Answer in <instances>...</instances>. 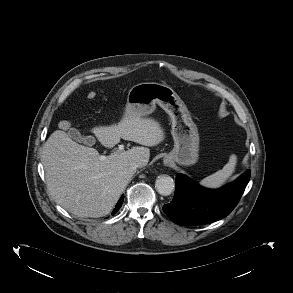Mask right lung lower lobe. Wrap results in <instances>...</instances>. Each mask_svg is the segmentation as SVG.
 <instances>
[{"label":"right lung lower lobe","instance_id":"obj_1","mask_svg":"<svg viewBox=\"0 0 293 293\" xmlns=\"http://www.w3.org/2000/svg\"><path fill=\"white\" fill-rule=\"evenodd\" d=\"M123 200H124V196H122V197L119 199V201H118V203H117L115 209H114L113 212H112V215L115 214V213L121 208V206H122V204H123Z\"/></svg>","mask_w":293,"mask_h":293}]
</instances>
